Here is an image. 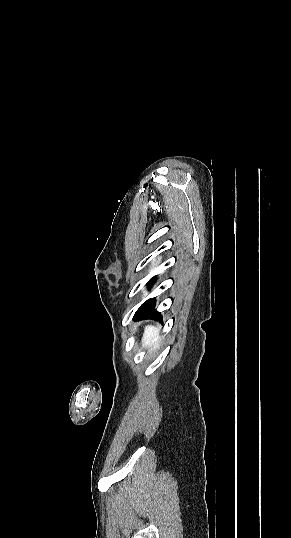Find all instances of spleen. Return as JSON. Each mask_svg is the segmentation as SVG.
<instances>
[{"mask_svg": "<svg viewBox=\"0 0 291 538\" xmlns=\"http://www.w3.org/2000/svg\"><path fill=\"white\" fill-rule=\"evenodd\" d=\"M159 329L156 327L147 326L143 336V347H151V350L159 347Z\"/></svg>", "mask_w": 291, "mask_h": 538, "instance_id": "obj_1", "label": "spleen"}]
</instances>
